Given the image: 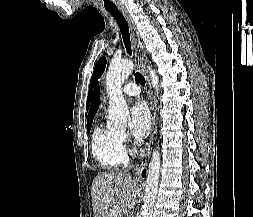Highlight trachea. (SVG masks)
<instances>
[{
	"instance_id": "trachea-1",
	"label": "trachea",
	"mask_w": 253,
	"mask_h": 217,
	"mask_svg": "<svg viewBox=\"0 0 253 217\" xmlns=\"http://www.w3.org/2000/svg\"><path fill=\"white\" fill-rule=\"evenodd\" d=\"M106 10L114 17L116 20L121 34L123 38V42L125 45V48L127 50V53L129 55L132 54V49H131V41H130V33H129V27L127 24V21L125 20L124 16L121 14V12L118 10V8H106ZM135 79L142 85H145V79L144 77L139 73H135Z\"/></svg>"
}]
</instances>
